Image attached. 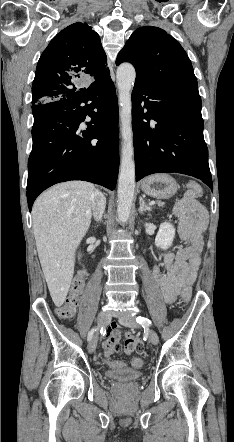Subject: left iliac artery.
<instances>
[{
    "label": "left iliac artery",
    "instance_id": "44dca946",
    "mask_svg": "<svg viewBox=\"0 0 234 442\" xmlns=\"http://www.w3.org/2000/svg\"><path fill=\"white\" fill-rule=\"evenodd\" d=\"M136 321H137V323L141 324L143 327L151 325V321L145 317H137Z\"/></svg>",
    "mask_w": 234,
    "mask_h": 442
}]
</instances>
